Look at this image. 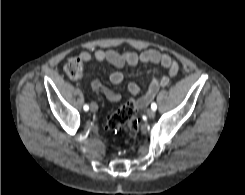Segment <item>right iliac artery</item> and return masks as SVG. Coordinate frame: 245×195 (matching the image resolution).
Here are the masks:
<instances>
[{
    "label": "right iliac artery",
    "instance_id": "82829eb1",
    "mask_svg": "<svg viewBox=\"0 0 245 195\" xmlns=\"http://www.w3.org/2000/svg\"><path fill=\"white\" fill-rule=\"evenodd\" d=\"M83 109H84L85 111H88V110H89V106H88V105H84Z\"/></svg>",
    "mask_w": 245,
    "mask_h": 195
}]
</instances>
